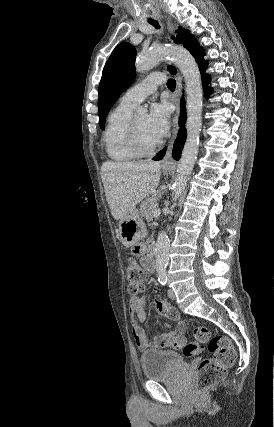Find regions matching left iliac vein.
Masks as SVG:
<instances>
[{
	"label": "left iliac vein",
	"instance_id": "4c4485c4",
	"mask_svg": "<svg viewBox=\"0 0 274 427\" xmlns=\"http://www.w3.org/2000/svg\"><path fill=\"white\" fill-rule=\"evenodd\" d=\"M168 296L170 299L176 300V296L174 294V291L171 288L168 290Z\"/></svg>",
	"mask_w": 274,
	"mask_h": 427
}]
</instances>
